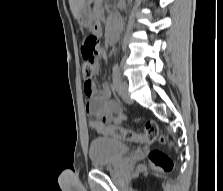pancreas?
Returning <instances> with one entry per match:
<instances>
[{
    "label": "pancreas",
    "mask_w": 223,
    "mask_h": 191,
    "mask_svg": "<svg viewBox=\"0 0 223 191\" xmlns=\"http://www.w3.org/2000/svg\"><path fill=\"white\" fill-rule=\"evenodd\" d=\"M95 2H99V0H95Z\"/></svg>",
    "instance_id": "cf45deb5"
}]
</instances>
